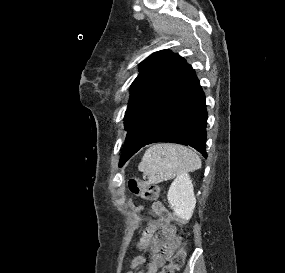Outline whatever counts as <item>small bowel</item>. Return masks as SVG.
Returning <instances> with one entry per match:
<instances>
[{"instance_id": "obj_1", "label": "small bowel", "mask_w": 285, "mask_h": 273, "mask_svg": "<svg viewBox=\"0 0 285 273\" xmlns=\"http://www.w3.org/2000/svg\"><path fill=\"white\" fill-rule=\"evenodd\" d=\"M151 212L157 216L149 222L144 229L142 235L137 241V248L139 250L150 249L152 252V259L147 265L146 273H157L158 268L163 266L168 258L172 255L178 246V240L175 238L169 229L171 217L168 214L165 206L159 202H153L151 205ZM158 229L164 230L163 240L157 238L155 233ZM145 259L142 256H137L133 259L131 266L136 268L143 264ZM127 273H134L132 270ZM142 273V272H138Z\"/></svg>"}]
</instances>
